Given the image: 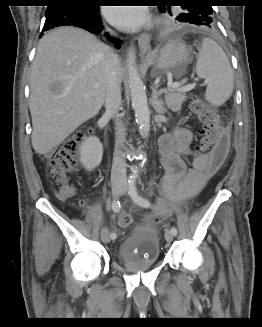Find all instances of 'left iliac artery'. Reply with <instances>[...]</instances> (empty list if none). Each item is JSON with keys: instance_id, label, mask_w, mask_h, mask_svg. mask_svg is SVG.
<instances>
[{"instance_id": "left-iliac-artery-1", "label": "left iliac artery", "mask_w": 262, "mask_h": 327, "mask_svg": "<svg viewBox=\"0 0 262 327\" xmlns=\"http://www.w3.org/2000/svg\"><path fill=\"white\" fill-rule=\"evenodd\" d=\"M129 195L131 196L133 201L138 205H141L143 207L151 206V203L147 199L143 198L138 194L136 189V182L134 179L129 180ZM171 232L174 236L177 235V229L175 227L171 228Z\"/></svg>"}]
</instances>
